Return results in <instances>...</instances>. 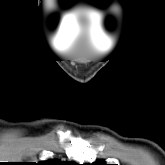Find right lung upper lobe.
<instances>
[{
    "instance_id": "1",
    "label": "right lung upper lobe",
    "mask_w": 165,
    "mask_h": 165,
    "mask_svg": "<svg viewBox=\"0 0 165 165\" xmlns=\"http://www.w3.org/2000/svg\"><path fill=\"white\" fill-rule=\"evenodd\" d=\"M40 165H76V163H63L58 160H47L42 163H39Z\"/></svg>"
}]
</instances>
